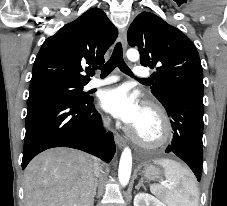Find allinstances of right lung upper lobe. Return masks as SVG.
<instances>
[{
	"instance_id": "right-lung-upper-lobe-1",
	"label": "right lung upper lobe",
	"mask_w": 227,
	"mask_h": 206,
	"mask_svg": "<svg viewBox=\"0 0 227 206\" xmlns=\"http://www.w3.org/2000/svg\"><path fill=\"white\" fill-rule=\"evenodd\" d=\"M117 35V28L101 9L86 11L44 41L33 65L31 83L56 79L87 84L90 66L104 63L103 56Z\"/></svg>"
}]
</instances>
